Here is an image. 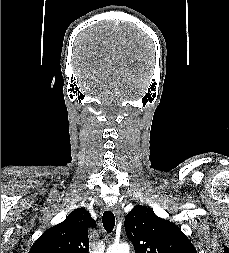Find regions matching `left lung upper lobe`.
Instances as JSON below:
<instances>
[{
    "instance_id": "left-lung-upper-lobe-1",
    "label": "left lung upper lobe",
    "mask_w": 229,
    "mask_h": 253,
    "mask_svg": "<svg viewBox=\"0 0 229 253\" xmlns=\"http://www.w3.org/2000/svg\"><path fill=\"white\" fill-rule=\"evenodd\" d=\"M125 230L135 253H197L180 228L141 205L125 217Z\"/></svg>"
}]
</instances>
